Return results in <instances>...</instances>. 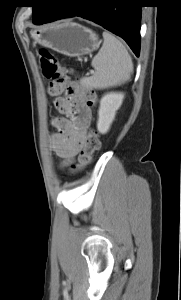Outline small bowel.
I'll use <instances>...</instances> for the list:
<instances>
[{"label": "small bowel", "instance_id": "obj_1", "mask_svg": "<svg viewBox=\"0 0 181 300\" xmlns=\"http://www.w3.org/2000/svg\"><path fill=\"white\" fill-rule=\"evenodd\" d=\"M54 105L65 116H58L52 120L56 133L51 136L50 142L56 154L67 164L73 161L82 147L91 111L77 97L59 96L55 99ZM64 108L69 110L68 114L63 112Z\"/></svg>", "mask_w": 181, "mask_h": 300}]
</instances>
